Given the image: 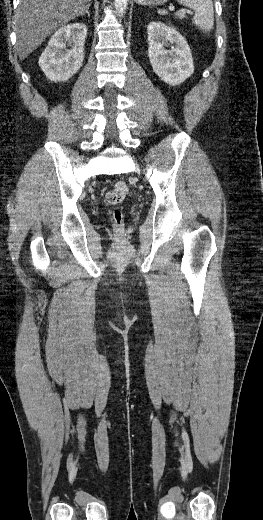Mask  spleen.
Segmentation results:
<instances>
[{
	"label": "spleen",
	"instance_id": "spleen-1",
	"mask_svg": "<svg viewBox=\"0 0 263 520\" xmlns=\"http://www.w3.org/2000/svg\"><path fill=\"white\" fill-rule=\"evenodd\" d=\"M179 3L189 7L195 12L192 19L194 25L208 32L213 29L214 25V9L212 0H178ZM161 15H166V10H158Z\"/></svg>",
	"mask_w": 263,
	"mask_h": 520
}]
</instances>
